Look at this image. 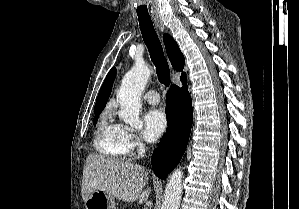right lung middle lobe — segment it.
Returning <instances> with one entry per match:
<instances>
[{
    "label": "right lung middle lobe",
    "instance_id": "dd1d6c3e",
    "mask_svg": "<svg viewBox=\"0 0 299 209\" xmlns=\"http://www.w3.org/2000/svg\"><path fill=\"white\" fill-rule=\"evenodd\" d=\"M95 113V118H94V125L97 123V120H98V115L101 113V112H94Z\"/></svg>",
    "mask_w": 299,
    "mask_h": 209
}]
</instances>
